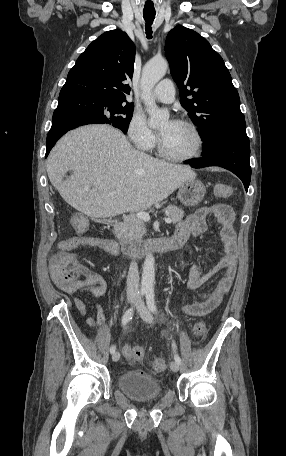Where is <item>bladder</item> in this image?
Returning a JSON list of instances; mask_svg holds the SVG:
<instances>
[{
    "label": "bladder",
    "mask_w": 286,
    "mask_h": 456,
    "mask_svg": "<svg viewBox=\"0 0 286 456\" xmlns=\"http://www.w3.org/2000/svg\"><path fill=\"white\" fill-rule=\"evenodd\" d=\"M118 383L120 390L137 402L158 399L163 393L159 381L154 376L137 369L123 372Z\"/></svg>",
    "instance_id": "31cf9c89"
}]
</instances>
